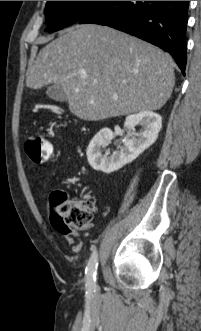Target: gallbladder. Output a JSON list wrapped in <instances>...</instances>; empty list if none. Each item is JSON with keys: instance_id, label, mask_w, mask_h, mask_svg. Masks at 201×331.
Listing matches in <instances>:
<instances>
[{"instance_id": "bac80fb5", "label": "gallbladder", "mask_w": 201, "mask_h": 331, "mask_svg": "<svg viewBox=\"0 0 201 331\" xmlns=\"http://www.w3.org/2000/svg\"><path fill=\"white\" fill-rule=\"evenodd\" d=\"M46 94L53 100L64 102L67 100V95L64 88L58 84H52L47 88Z\"/></svg>"}]
</instances>
